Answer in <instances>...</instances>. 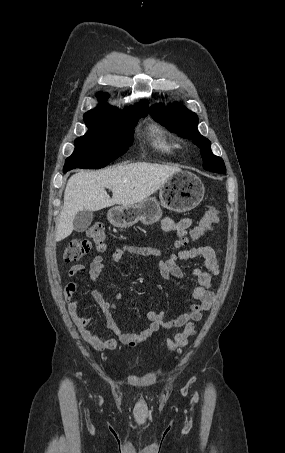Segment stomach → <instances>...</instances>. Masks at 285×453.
I'll use <instances>...</instances> for the list:
<instances>
[{
  "label": "stomach",
  "instance_id": "obj_1",
  "mask_svg": "<svg viewBox=\"0 0 285 453\" xmlns=\"http://www.w3.org/2000/svg\"><path fill=\"white\" fill-rule=\"evenodd\" d=\"M205 188L198 176L188 171L174 173L160 187L158 202L148 197L138 204L117 206L108 211V220L118 228H128L142 222H157L162 216L161 206L174 212H186L200 204Z\"/></svg>",
  "mask_w": 285,
  "mask_h": 453
}]
</instances>
